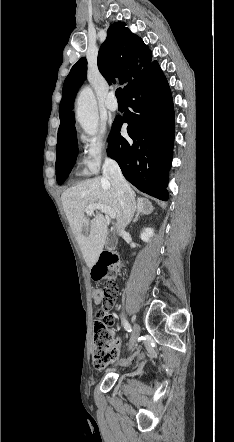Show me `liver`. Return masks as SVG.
Listing matches in <instances>:
<instances>
[{"instance_id": "6515ba94", "label": "liver", "mask_w": 234, "mask_h": 442, "mask_svg": "<svg viewBox=\"0 0 234 442\" xmlns=\"http://www.w3.org/2000/svg\"><path fill=\"white\" fill-rule=\"evenodd\" d=\"M61 200L86 265L91 269L103 251L108 228L102 214L92 213L90 216L93 215V218L90 220L85 215V209L92 203L104 204L114 210L119 221L122 217L120 197L110 179L96 177L67 189L63 192Z\"/></svg>"}]
</instances>
